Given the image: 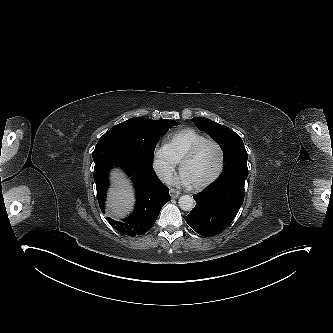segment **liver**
I'll use <instances>...</instances> for the list:
<instances>
[{
    "instance_id": "6515ba94",
    "label": "liver",
    "mask_w": 333,
    "mask_h": 333,
    "mask_svg": "<svg viewBox=\"0 0 333 333\" xmlns=\"http://www.w3.org/2000/svg\"><path fill=\"white\" fill-rule=\"evenodd\" d=\"M111 180L112 188L108 193L107 207L111 215L123 218L133 209L134 194L129 181L119 170L111 172Z\"/></svg>"
}]
</instances>
